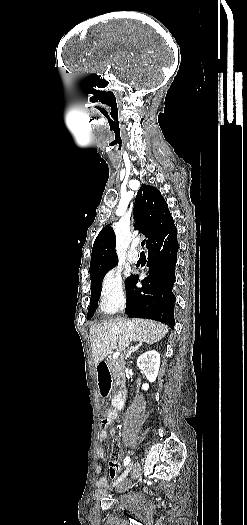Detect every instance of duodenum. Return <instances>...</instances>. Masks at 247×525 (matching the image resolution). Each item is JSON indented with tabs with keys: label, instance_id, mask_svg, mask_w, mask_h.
<instances>
[{
	"label": "duodenum",
	"instance_id": "410a0bca",
	"mask_svg": "<svg viewBox=\"0 0 247 525\" xmlns=\"http://www.w3.org/2000/svg\"><path fill=\"white\" fill-rule=\"evenodd\" d=\"M96 376L100 394L102 396H107L111 390V372L110 364L107 361L100 362L96 367ZM126 402V391L114 396L112 400V406L115 410H120L123 408Z\"/></svg>",
	"mask_w": 247,
	"mask_h": 525
}]
</instances>
